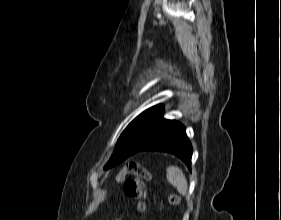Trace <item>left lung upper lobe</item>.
<instances>
[{
  "mask_svg": "<svg viewBox=\"0 0 281 220\" xmlns=\"http://www.w3.org/2000/svg\"><path fill=\"white\" fill-rule=\"evenodd\" d=\"M163 106L156 105L137 116L119 137L114 153L104 167L108 169L135 154L153 136L163 121Z\"/></svg>",
  "mask_w": 281,
  "mask_h": 220,
  "instance_id": "5c2ea615",
  "label": "left lung upper lobe"
}]
</instances>
